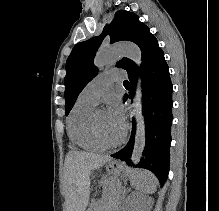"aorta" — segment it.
Instances as JSON below:
<instances>
[{
  "label": "aorta",
  "mask_w": 219,
  "mask_h": 211,
  "mask_svg": "<svg viewBox=\"0 0 219 211\" xmlns=\"http://www.w3.org/2000/svg\"><path fill=\"white\" fill-rule=\"evenodd\" d=\"M120 56H124L133 60L139 67L141 65V51L137 45L130 42L116 44L106 49L100 50L95 57L94 64L97 67H103ZM141 99L142 89L141 81L139 79L133 103V114L137 120L134 148L131 155V161L134 164L138 163L141 160L146 140Z\"/></svg>",
  "instance_id": "aorta-1"
}]
</instances>
